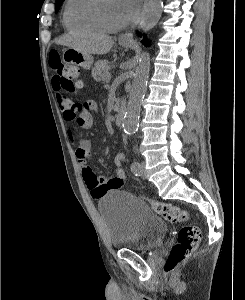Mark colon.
Returning a JSON list of instances; mask_svg holds the SVG:
<instances>
[{"label": "colon", "mask_w": 245, "mask_h": 300, "mask_svg": "<svg viewBox=\"0 0 245 300\" xmlns=\"http://www.w3.org/2000/svg\"><path fill=\"white\" fill-rule=\"evenodd\" d=\"M49 66L62 88L73 92L80 87L79 71L74 66L63 63L58 52L50 53ZM76 105L80 106L81 103L77 102ZM149 203L155 213L170 223H186L190 219L188 212L176 205L155 200H149ZM200 239L201 232L199 228L193 225L183 226L179 230L177 242L171 249L165 262L164 272L169 274L184 262L197 247Z\"/></svg>", "instance_id": "5ec220e1"}]
</instances>
